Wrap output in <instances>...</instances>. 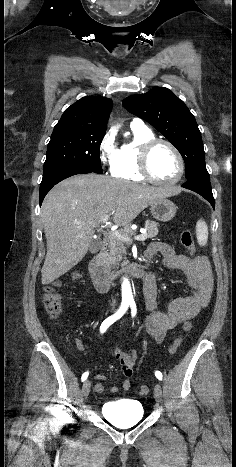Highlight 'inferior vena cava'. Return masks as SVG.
<instances>
[{
	"instance_id": "602c4592",
	"label": "inferior vena cava",
	"mask_w": 236,
	"mask_h": 467,
	"mask_svg": "<svg viewBox=\"0 0 236 467\" xmlns=\"http://www.w3.org/2000/svg\"><path fill=\"white\" fill-rule=\"evenodd\" d=\"M115 303H116V302H115V300H114V301H113V304L115 305Z\"/></svg>"
}]
</instances>
